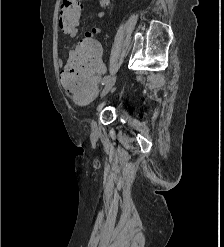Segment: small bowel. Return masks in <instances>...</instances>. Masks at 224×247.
Instances as JSON below:
<instances>
[{
    "mask_svg": "<svg viewBox=\"0 0 224 247\" xmlns=\"http://www.w3.org/2000/svg\"><path fill=\"white\" fill-rule=\"evenodd\" d=\"M104 16H105V13L103 11L97 12V17L98 18H103ZM100 32H101V29L99 27L92 26L90 30H88V31L85 32V35H84L85 37H84V40L83 41H86V40H95L94 39V36L96 34H99ZM77 33H78V28L75 27L68 34L71 37H74V36L77 35ZM59 64H62V60L61 59L59 60Z\"/></svg>",
    "mask_w": 224,
    "mask_h": 247,
    "instance_id": "1",
    "label": "small bowel"
}]
</instances>
